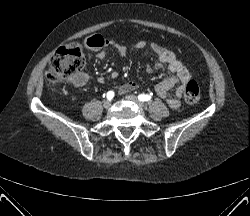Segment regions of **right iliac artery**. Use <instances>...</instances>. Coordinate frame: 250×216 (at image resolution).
Here are the masks:
<instances>
[{"mask_svg": "<svg viewBox=\"0 0 250 216\" xmlns=\"http://www.w3.org/2000/svg\"><path fill=\"white\" fill-rule=\"evenodd\" d=\"M114 92L113 91H109L108 93H107V98L109 99V100H111L113 97H114Z\"/></svg>", "mask_w": 250, "mask_h": 216, "instance_id": "1", "label": "right iliac artery"}]
</instances>
